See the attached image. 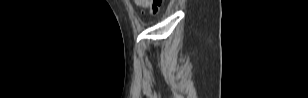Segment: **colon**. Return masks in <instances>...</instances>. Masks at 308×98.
I'll use <instances>...</instances> for the list:
<instances>
[{"label":"colon","mask_w":308,"mask_h":98,"mask_svg":"<svg viewBox=\"0 0 308 98\" xmlns=\"http://www.w3.org/2000/svg\"><path fill=\"white\" fill-rule=\"evenodd\" d=\"M136 4L142 8H148L151 15L159 12L163 0H135Z\"/></svg>","instance_id":"5ec220e1"}]
</instances>
